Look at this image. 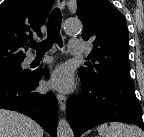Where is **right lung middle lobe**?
<instances>
[{"label": "right lung middle lobe", "mask_w": 144, "mask_h": 137, "mask_svg": "<svg viewBox=\"0 0 144 137\" xmlns=\"http://www.w3.org/2000/svg\"><path fill=\"white\" fill-rule=\"evenodd\" d=\"M30 73V70H23L21 62L5 69L0 70V79L5 78H20Z\"/></svg>", "instance_id": "obj_1"}]
</instances>
